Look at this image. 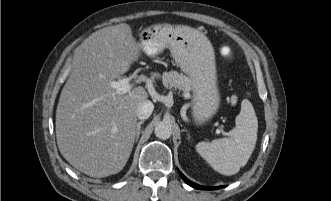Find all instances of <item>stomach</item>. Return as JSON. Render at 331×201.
<instances>
[{"mask_svg": "<svg viewBox=\"0 0 331 201\" xmlns=\"http://www.w3.org/2000/svg\"><path fill=\"white\" fill-rule=\"evenodd\" d=\"M148 56L168 48L176 64L189 77L193 91L192 115L197 125L210 120L220 105L215 55L208 38L183 25H152L140 33Z\"/></svg>", "mask_w": 331, "mask_h": 201, "instance_id": "0dacf381", "label": "stomach"}]
</instances>
